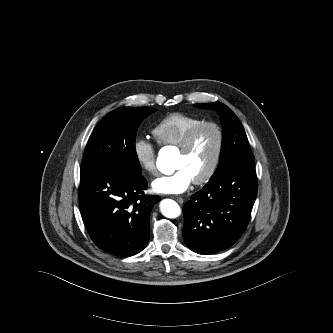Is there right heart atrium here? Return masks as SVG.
<instances>
[{
    "label": "right heart atrium",
    "instance_id": "right-heart-atrium-1",
    "mask_svg": "<svg viewBox=\"0 0 333 333\" xmlns=\"http://www.w3.org/2000/svg\"><path fill=\"white\" fill-rule=\"evenodd\" d=\"M133 153L142 170L151 175L157 173L156 149L148 139L137 137L133 142Z\"/></svg>",
    "mask_w": 333,
    "mask_h": 333
}]
</instances>
